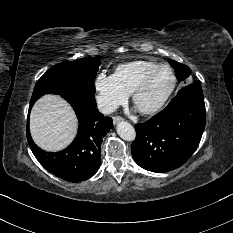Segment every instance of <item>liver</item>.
Masks as SVG:
<instances>
[{"label": "liver", "instance_id": "liver-1", "mask_svg": "<svg viewBox=\"0 0 233 233\" xmlns=\"http://www.w3.org/2000/svg\"><path fill=\"white\" fill-rule=\"evenodd\" d=\"M76 115L67 101L58 95L42 96L30 114V132L34 142L47 151H60L74 139Z\"/></svg>", "mask_w": 233, "mask_h": 233}]
</instances>
